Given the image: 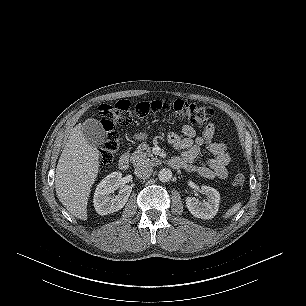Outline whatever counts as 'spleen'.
Wrapping results in <instances>:
<instances>
[{"label": "spleen", "instance_id": "spleen-1", "mask_svg": "<svg viewBox=\"0 0 306 306\" xmlns=\"http://www.w3.org/2000/svg\"><path fill=\"white\" fill-rule=\"evenodd\" d=\"M242 207V202L235 203L232 207H230L224 215V218H229L236 214L240 208Z\"/></svg>", "mask_w": 306, "mask_h": 306}]
</instances>
